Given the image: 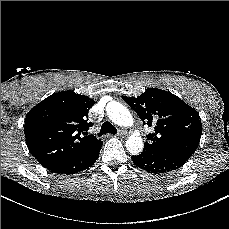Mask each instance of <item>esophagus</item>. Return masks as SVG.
I'll list each match as a JSON object with an SVG mask.
<instances>
[{"label":"esophagus","mask_w":229,"mask_h":229,"mask_svg":"<svg viewBox=\"0 0 229 229\" xmlns=\"http://www.w3.org/2000/svg\"><path fill=\"white\" fill-rule=\"evenodd\" d=\"M117 135H118L119 137H124V136L127 135V131L122 130V129H118Z\"/></svg>","instance_id":"1"}]
</instances>
